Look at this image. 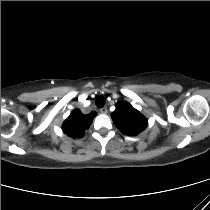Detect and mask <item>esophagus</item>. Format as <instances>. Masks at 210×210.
<instances>
[{
    "label": "esophagus",
    "instance_id": "obj_1",
    "mask_svg": "<svg viewBox=\"0 0 210 210\" xmlns=\"http://www.w3.org/2000/svg\"><path fill=\"white\" fill-rule=\"evenodd\" d=\"M107 107H102L101 109H100V113H102V114H106L107 113Z\"/></svg>",
    "mask_w": 210,
    "mask_h": 210
}]
</instances>
